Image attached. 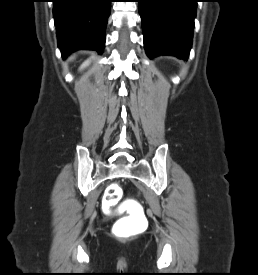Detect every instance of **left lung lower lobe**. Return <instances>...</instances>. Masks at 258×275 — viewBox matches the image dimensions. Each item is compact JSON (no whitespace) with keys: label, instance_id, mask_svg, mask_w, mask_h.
I'll return each mask as SVG.
<instances>
[{"label":"left lung lower lobe","instance_id":"0a47b994","mask_svg":"<svg viewBox=\"0 0 258 275\" xmlns=\"http://www.w3.org/2000/svg\"><path fill=\"white\" fill-rule=\"evenodd\" d=\"M147 55L187 59L197 0H138Z\"/></svg>","mask_w":258,"mask_h":275}]
</instances>
